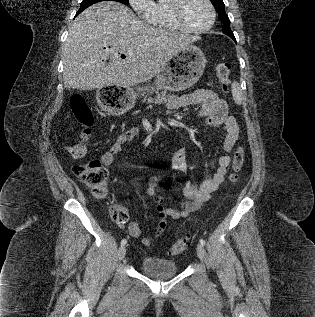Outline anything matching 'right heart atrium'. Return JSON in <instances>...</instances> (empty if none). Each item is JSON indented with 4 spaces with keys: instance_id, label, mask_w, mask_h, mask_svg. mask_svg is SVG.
<instances>
[{
    "instance_id": "d8ad5b80",
    "label": "right heart atrium",
    "mask_w": 315,
    "mask_h": 317,
    "mask_svg": "<svg viewBox=\"0 0 315 317\" xmlns=\"http://www.w3.org/2000/svg\"><path fill=\"white\" fill-rule=\"evenodd\" d=\"M129 4L135 13L148 20L154 9V2L152 0H129Z\"/></svg>"
}]
</instances>
